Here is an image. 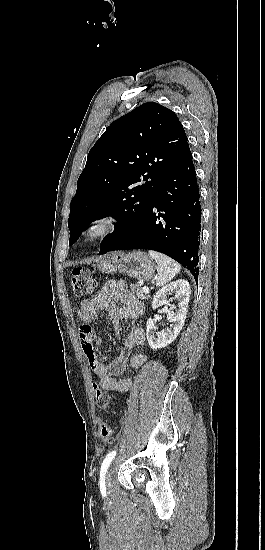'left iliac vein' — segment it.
<instances>
[{"mask_svg":"<svg viewBox=\"0 0 265 550\" xmlns=\"http://www.w3.org/2000/svg\"><path fill=\"white\" fill-rule=\"evenodd\" d=\"M105 480H106L107 486H109L111 484V478H110V473L109 472L106 474Z\"/></svg>","mask_w":265,"mask_h":550,"instance_id":"obj_1","label":"left iliac vein"}]
</instances>
